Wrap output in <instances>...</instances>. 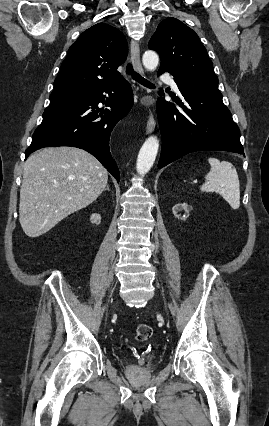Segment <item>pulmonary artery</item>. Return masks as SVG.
I'll return each mask as SVG.
<instances>
[{"mask_svg": "<svg viewBox=\"0 0 269 426\" xmlns=\"http://www.w3.org/2000/svg\"><path fill=\"white\" fill-rule=\"evenodd\" d=\"M163 81L169 84L176 92L179 91L176 81L171 76H164Z\"/></svg>", "mask_w": 269, "mask_h": 426, "instance_id": "1", "label": "pulmonary artery"}]
</instances>
